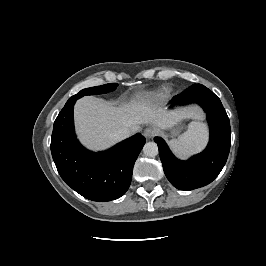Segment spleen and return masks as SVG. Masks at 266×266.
<instances>
[{
  "label": "spleen",
  "mask_w": 266,
  "mask_h": 266,
  "mask_svg": "<svg viewBox=\"0 0 266 266\" xmlns=\"http://www.w3.org/2000/svg\"><path fill=\"white\" fill-rule=\"evenodd\" d=\"M208 130L202 122H191L188 130L179 135L178 139L169 142L172 151L181 158L200 152L206 145Z\"/></svg>",
  "instance_id": "1"
}]
</instances>
